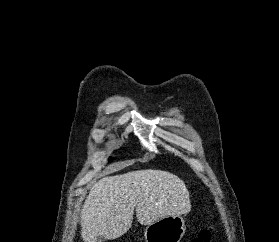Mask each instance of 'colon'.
<instances>
[{"instance_id": "colon-1", "label": "colon", "mask_w": 279, "mask_h": 242, "mask_svg": "<svg viewBox=\"0 0 279 242\" xmlns=\"http://www.w3.org/2000/svg\"><path fill=\"white\" fill-rule=\"evenodd\" d=\"M213 229L211 225L203 228L191 242H212Z\"/></svg>"}]
</instances>
